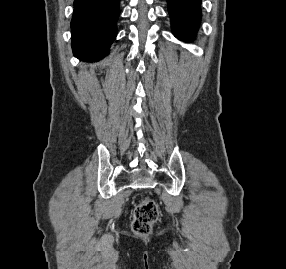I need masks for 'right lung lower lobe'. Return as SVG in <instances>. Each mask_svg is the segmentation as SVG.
<instances>
[{
	"mask_svg": "<svg viewBox=\"0 0 286 269\" xmlns=\"http://www.w3.org/2000/svg\"><path fill=\"white\" fill-rule=\"evenodd\" d=\"M120 0H75L71 21L75 57L97 61L109 52L117 35Z\"/></svg>",
	"mask_w": 286,
	"mask_h": 269,
	"instance_id": "1",
	"label": "right lung lower lobe"
}]
</instances>
